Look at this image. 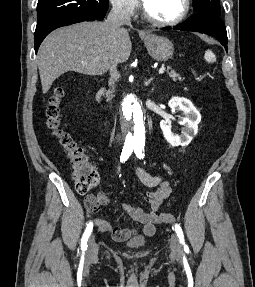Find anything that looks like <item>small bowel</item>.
I'll list each match as a JSON object with an SVG mask.
<instances>
[{"instance_id": "obj_1", "label": "small bowel", "mask_w": 255, "mask_h": 287, "mask_svg": "<svg viewBox=\"0 0 255 287\" xmlns=\"http://www.w3.org/2000/svg\"><path fill=\"white\" fill-rule=\"evenodd\" d=\"M136 175L140 182L148 188L143 194V200L151 207L150 211H144L141 207L125 204L123 209L118 212L122 219L127 217L143 225V232L146 235H153L156 225L161 223L159 209L163 201L172 192L170 182L161 175H152L141 167L136 168ZM109 203V197L105 192L88 195L84 204L90 215L100 212L101 207ZM95 226L100 232L110 233L115 240L123 241L131 236L135 231L127 227H117L105 219L95 218Z\"/></svg>"}]
</instances>
